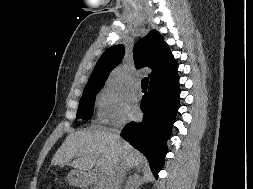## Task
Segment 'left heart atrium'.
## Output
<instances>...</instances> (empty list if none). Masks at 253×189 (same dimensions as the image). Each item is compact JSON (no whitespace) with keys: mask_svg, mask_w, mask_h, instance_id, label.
<instances>
[{"mask_svg":"<svg viewBox=\"0 0 253 189\" xmlns=\"http://www.w3.org/2000/svg\"><path fill=\"white\" fill-rule=\"evenodd\" d=\"M126 113L129 116L136 117L139 113L137 105L134 102H130L126 108Z\"/></svg>","mask_w":253,"mask_h":189,"instance_id":"1","label":"left heart atrium"}]
</instances>
